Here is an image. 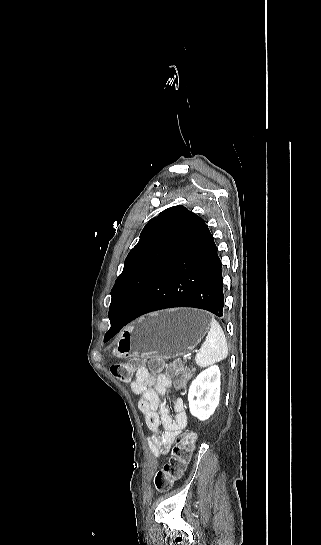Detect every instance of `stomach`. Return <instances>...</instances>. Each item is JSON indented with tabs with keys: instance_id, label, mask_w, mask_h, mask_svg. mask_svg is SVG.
Segmentation results:
<instances>
[{
	"instance_id": "stomach-1",
	"label": "stomach",
	"mask_w": 321,
	"mask_h": 545,
	"mask_svg": "<svg viewBox=\"0 0 321 545\" xmlns=\"http://www.w3.org/2000/svg\"><path fill=\"white\" fill-rule=\"evenodd\" d=\"M210 327L209 315L199 309H166L127 325L112 351L118 359H174L191 353Z\"/></svg>"
}]
</instances>
